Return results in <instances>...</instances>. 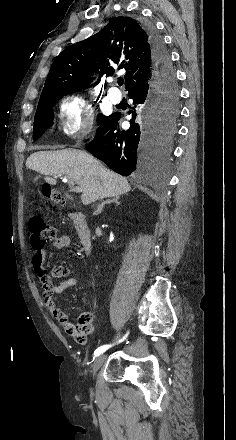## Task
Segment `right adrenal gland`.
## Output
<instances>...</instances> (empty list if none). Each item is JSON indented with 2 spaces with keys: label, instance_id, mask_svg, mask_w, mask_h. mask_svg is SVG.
<instances>
[{
  "label": "right adrenal gland",
  "instance_id": "obj_1",
  "mask_svg": "<svg viewBox=\"0 0 236 440\" xmlns=\"http://www.w3.org/2000/svg\"><path fill=\"white\" fill-rule=\"evenodd\" d=\"M119 199H120V197H119V196H116V197H113V198H111V199H108V200L102 202V203L97 207V210L95 211V214H100V213L102 212L103 207L105 206V204L115 203V204L119 205V204H120Z\"/></svg>",
  "mask_w": 236,
  "mask_h": 440
}]
</instances>
